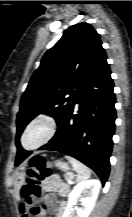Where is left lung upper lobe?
Masks as SVG:
<instances>
[{
    "mask_svg": "<svg viewBox=\"0 0 132 217\" xmlns=\"http://www.w3.org/2000/svg\"><path fill=\"white\" fill-rule=\"evenodd\" d=\"M106 59L100 36L90 24L69 27L45 53L21 97L16 143L25 126L40 113L55 118L58 125Z\"/></svg>",
    "mask_w": 132,
    "mask_h": 217,
    "instance_id": "obj_1",
    "label": "left lung upper lobe"
}]
</instances>
